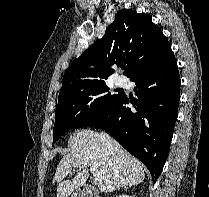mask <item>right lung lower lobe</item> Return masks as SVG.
I'll list each match as a JSON object with an SVG mask.
<instances>
[{
  "mask_svg": "<svg viewBox=\"0 0 209 197\" xmlns=\"http://www.w3.org/2000/svg\"><path fill=\"white\" fill-rule=\"evenodd\" d=\"M131 81L137 99L123 95L88 126L105 130L142 161L156 182L166 162L180 99V76L174 53L138 73Z\"/></svg>",
  "mask_w": 209,
  "mask_h": 197,
  "instance_id": "right-lung-lower-lobe-1",
  "label": "right lung lower lobe"
}]
</instances>
